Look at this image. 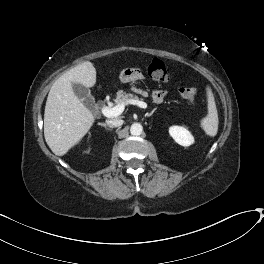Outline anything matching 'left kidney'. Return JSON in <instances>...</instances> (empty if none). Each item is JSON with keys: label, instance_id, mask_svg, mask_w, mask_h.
Wrapping results in <instances>:
<instances>
[{"label": "left kidney", "instance_id": "5707ae66", "mask_svg": "<svg viewBox=\"0 0 264 264\" xmlns=\"http://www.w3.org/2000/svg\"><path fill=\"white\" fill-rule=\"evenodd\" d=\"M170 136L182 146H190L194 142L191 133L182 126H171L169 128Z\"/></svg>", "mask_w": 264, "mask_h": 264}]
</instances>
